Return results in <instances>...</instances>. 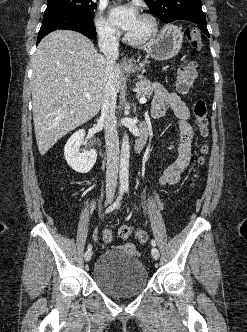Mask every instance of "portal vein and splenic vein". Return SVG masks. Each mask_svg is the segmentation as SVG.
Wrapping results in <instances>:
<instances>
[{
    "mask_svg": "<svg viewBox=\"0 0 247 332\" xmlns=\"http://www.w3.org/2000/svg\"><path fill=\"white\" fill-rule=\"evenodd\" d=\"M85 96H89V94L86 93ZM139 102H140L141 104H145V103L147 102V99H146L145 97H142V98L139 100Z\"/></svg>",
    "mask_w": 247,
    "mask_h": 332,
    "instance_id": "portal-vein-and-splenic-vein-1",
    "label": "portal vein and splenic vein"
}]
</instances>
